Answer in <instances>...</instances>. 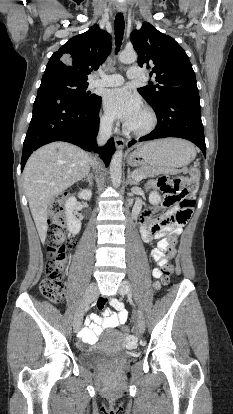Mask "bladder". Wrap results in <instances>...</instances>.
<instances>
[{"mask_svg":"<svg viewBox=\"0 0 233 414\" xmlns=\"http://www.w3.org/2000/svg\"><path fill=\"white\" fill-rule=\"evenodd\" d=\"M122 336L118 331H111L106 342L89 352L80 355V361L85 365H97L111 359H126L122 353Z\"/></svg>","mask_w":233,"mask_h":414,"instance_id":"bladder-1","label":"bladder"}]
</instances>
